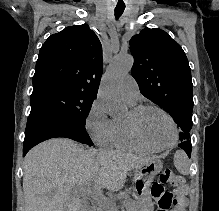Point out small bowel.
I'll use <instances>...</instances> for the list:
<instances>
[{
  "mask_svg": "<svg viewBox=\"0 0 219 211\" xmlns=\"http://www.w3.org/2000/svg\"><path fill=\"white\" fill-rule=\"evenodd\" d=\"M153 196L158 205L157 211H172L170 210L172 206V195L170 193L163 190H156Z\"/></svg>",
  "mask_w": 219,
  "mask_h": 211,
  "instance_id": "small-bowel-1",
  "label": "small bowel"
}]
</instances>
